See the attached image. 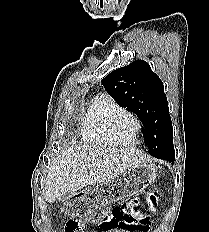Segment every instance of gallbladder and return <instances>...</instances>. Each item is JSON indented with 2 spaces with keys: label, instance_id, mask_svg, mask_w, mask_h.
I'll return each mask as SVG.
<instances>
[{
  "label": "gallbladder",
  "instance_id": "1",
  "mask_svg": "<svg viewBox=\"0 0 209 232\" xmlns=\"http://www.w3.org/2000/svg\"><path fill=\"white\" fill-rule=\"evenodd\" d=\"M69 196H70L69 193L64 194V195H62L58 200H59V201H64V200H66Z\"/></svg>",
  "mask_w": 209,
  "mask_h": 232
}]
</instances>
